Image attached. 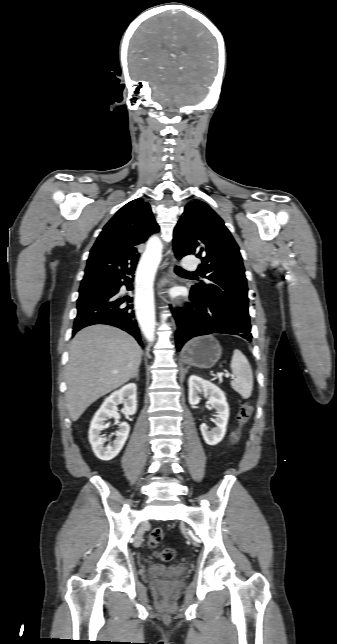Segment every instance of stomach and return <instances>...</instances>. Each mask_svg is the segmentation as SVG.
I'll list each match as a JSON object with an SVG mask.
<instances>
[{
  "label": "stomach",
  "mask_w": 337,
  "mask_h": 644,
  "mask_svg": "<svg viewBox=\"0 0 337 644\" xmlns=\"http://www.w3.org/2000/svg\"><path fill=\"white\" fill-rule=\"evenodd\" d=\"M222 348L213 336L194 338L186 344L181 353L185 364L201 369L212 368L221 358Z\"/></svg>",
  "instance_id": "1"
}]
</instances>
